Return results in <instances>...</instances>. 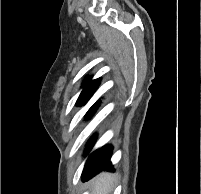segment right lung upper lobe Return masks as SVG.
<instances>
[{"instance_id":"obj_1","label":"right lung upper lobe","mask_w":201,"mask_h":194,"mask_svg":"<svg viewBox=\"0 0 201 194\" xmlns=\"http://www.w3.org/2000/svg\"><path fill=\"white\" fill-rule=\"evenodd\" d=\"M100 79L95 80H86L84 84V88L77 100V104L86 102L94 93V91L99 86Z\"/></svg>"}]
</instances>
